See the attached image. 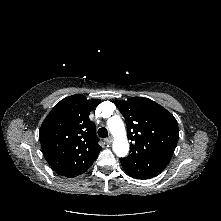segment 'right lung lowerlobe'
<instances>
[{
    "label": "right lung lower lobe",
    "mask_w": 221,
    "mask_h": 221,
    "mask_svg": "<svg viewBox=\"0 0 221 221\" xmlns=\"http://www.w3.org/2000/svg\"><path fill=\"white\" fill-rule=\"evenodd\" d=\"M89 168H90V167H88V168H87L85 171H83L82 173L86 172ZM82 173H81V174H82ZM79 175H80V174H79Z\"/></svg>",
    "instance_id": "obj_1"
}]
</instances>
